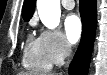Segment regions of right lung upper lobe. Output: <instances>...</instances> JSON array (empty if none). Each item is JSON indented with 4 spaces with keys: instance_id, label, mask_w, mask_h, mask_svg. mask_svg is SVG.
Listing matches in <instances>:
<instances>
[{
    "instance_id": "right-lung-upper-lobe-1",
    "label": "right lung upper lobe",
    "mask_w": 107,
    "mask_h": 75,
    "mask_svg": "<svg viewBox=\"0 0 107 75\" xmlns=\"http://www.w3.org/2000/svg\"><path fill=\"white\" fill-rule=\"evenodd\" d=\"M35 9V0H24L22 16L24 21L31 19Z\"/></svg>"
}]
</instances>
